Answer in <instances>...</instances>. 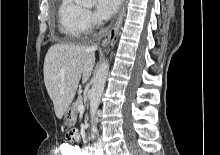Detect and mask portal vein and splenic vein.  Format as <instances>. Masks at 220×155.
Segmentation results:
<instances>
[{"label":"portal vein and splenic vein","instance_id":"portal-vein-and-splenic-vein-1","mask_svg":"<svg viewBox=\"0 0 220 155\" xmlns=\"http://www.w3.org/2000/svg\"><path fill=\"white\" fill-rule=\"evenodd\" d=\"M78 109L79 111H84V105L83 104L79 105Z\"/></svg>","mask_w":220,"mask_h":155}]
</instances>
